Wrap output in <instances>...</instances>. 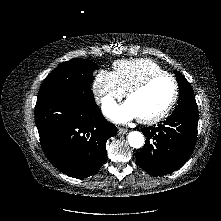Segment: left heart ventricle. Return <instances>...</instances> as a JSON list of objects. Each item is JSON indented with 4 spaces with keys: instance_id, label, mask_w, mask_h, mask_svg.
<instances>
[{
    "instance_id": "1",
    "label": "left heart ventricle",
    "mask_w": 221,
    "mask_h": 221,
    "mask_svg": "<svg viewBox=\"0 0 221 221\" xmlns=\"http://www.w3.org/2000/svg\"><path fill=\"white\" fill-rule=\"evenodd\" d=\"M173 95V84L168 78L154 80L142 91L132 95L128 102L138 117H152L161 112Z\"/></svg>"
}]
</instances>
